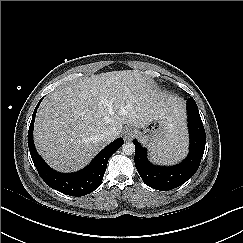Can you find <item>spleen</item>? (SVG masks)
<instances>
[{
    "label": "spleen",
    "mask_w": 243,
    "mask_h": 243,
    "mask_svg": "<svg viewBox=\"0 0 243 243\" xmlns=\"http://www.w3.org/2000/svg\"><path fill=\"white\" fill-rule=\"evenodd\" d=\"M187 151L185 134H171L160 144L155 154L156 160L164 164H172L184 158Z\"/></svg>",
    "instance_id": "3e777b00"
}]
</instances>
